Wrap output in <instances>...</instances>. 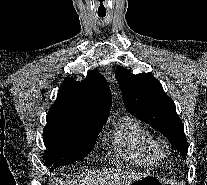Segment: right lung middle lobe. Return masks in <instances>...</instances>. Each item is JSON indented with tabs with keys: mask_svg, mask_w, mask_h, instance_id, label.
<instances>
[{
	"mask_svg": "<svg viewBox=\"0 0 207 185\" xmlns=\"http://www.w3.org/2000/svg\"><path fill=\"white\" fill-rule=\"evenodd\" d=\"M102 128L83 127L65 122H47L44 128L46 165L54 167L72 164L93 149Z\"/></svg>",
	"mask_w": 207,
	"mask_h": 185,
	"instance_id": "obj_1",
	"label": "right lung middle lobe"
}]
</instances>
